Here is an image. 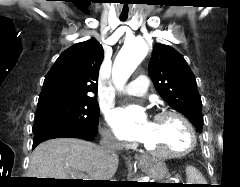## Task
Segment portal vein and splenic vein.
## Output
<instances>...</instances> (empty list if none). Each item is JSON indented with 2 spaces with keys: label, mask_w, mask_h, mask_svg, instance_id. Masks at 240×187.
I'll list each match as a JSON object with an SVG mask.
<instances>
[{
  "label": "portal vein and splenic vein",
  "mask_w": 240,
  "mask_h": 187,
  "mask_svg": "<svg viewBox=\"0 0 240 187\" xmlns=\"http://www.w3.org/2000/svg\"><path fill=\"white\" fill-rule=\"evenodd\" d=\"M78 176H79V178L80 179H82V180H90L89 178H88V176H86L84 173H82V172H80L79 174H78Z\"/></svg>",
  "instance_id": "obj_1"
}]
</instances>
